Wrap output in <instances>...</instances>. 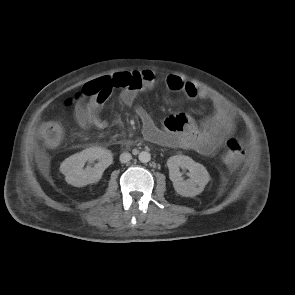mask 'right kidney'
<instances>
[{
	"label": "right kidney",
	"mask_w": 295,
	"mask_h": 295,
	"mask_svg": "<svg viewBox=\"0 0 295 295\" xmlns=\"http://www.w3.org/2000/svg\"><path fill=\"white\" fill-rule=\"evenodd\" d=\"M99 160L93 168L83 169L87 161ZM113 162L109 150L101 147L87 148L65 159L60 165V171L65 175L68 184L75 187H83L98 182L104 170Z\"/></svg>",
	"instance_id": "ca27d5eb"
}]
</instances>
